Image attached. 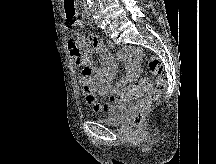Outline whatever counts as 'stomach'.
Segmentation results:
<instances>
[{"label": "stomach", "instance_id": "1", "mask_svg": "<svg viewBox=\"0 0 216 164\" xmlns=\"http://www.w3.org/2000/svg\"><path fill=\"white\" fill-rule=\"evenodd\" d=\"M65 3V20H78V0H63Z\"/></svg>", "mask_w": 216, "mask_h": 164}]
</instances>
